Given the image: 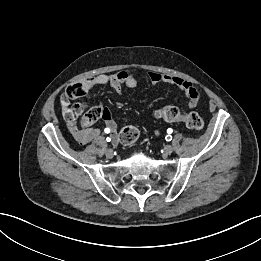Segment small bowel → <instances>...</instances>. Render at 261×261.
<instances>
[{
  "mask_svg": "<svg viewBox=\"0 0 261 261\" xmlns=\"http://www.w3.org/2000/svg\"><path fill=\"white\" fill-rule=\"evenodd\" d=\"M148 76L153 84L168 83L181 89L188 98V106L190 109H193L198 104L200 94L196 89V87L189 81L184 80L177 76L162 74L158 72H150ZM81 84L83 86L84 93H87L98 86H105V85L110 86L114 91L120 93L124 85L127 86L128 88H135L137 86V78L134 74L129 73L127 71H119L113 74L98 75L94 78L82 81ZM98 106L103 112V119L105 121L106 128L109 129L112 136L114 137V140H116V128H117L116 122L111 117L110 111L107 108L101 105ZM68 110L69 108L64 107L63 114L69 125L73 137L79 143L85 144L99 137L101 131L98 128L91 127L93 122H88L86 121L85 117H83L82 127L79 128L75 122L76 118H69L67 116Z\"/></svg>",
  "mask_w": 261,
  "mask_h": 261,
  "instance_id": "1",
  "label": "small bowel"
}]
</instances>
